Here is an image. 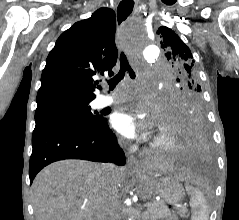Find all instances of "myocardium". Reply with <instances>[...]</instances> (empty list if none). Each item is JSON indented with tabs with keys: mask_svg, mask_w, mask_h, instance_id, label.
Wrapping results in <instances>:
<instances>
[{
	"mask_svg": "<svg viewBox=\"0 0 239 220\" xmlns=\"http://www.w3.org/2000/svg\"><path fill=\"white\" fill-rule=\"evenodd\" d=\"M177 147V138L174 132L165 128L161 139H156L150 144V151L152 152H168Z\"/></svg>",
	"mask_w": 239,
	"mask_h": 220,
	"instance_id": "f54148a6",
	"label": "myocardium"
}]
</instances>
